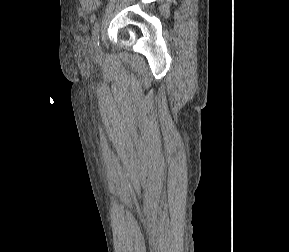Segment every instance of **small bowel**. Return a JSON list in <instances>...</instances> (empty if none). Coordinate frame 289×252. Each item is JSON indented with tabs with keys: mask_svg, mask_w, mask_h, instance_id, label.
Returning a JSON list of instances; mask_svg holds the SVG:
<instances>
[{
	"mask_svg": "<svg viewBox=\"0 0 289 252\" xmlns=\"http://www.w3.org/2000/svg\"><path fill=\"white\" fill-rule=\"evenodd\" d=\"M83 11L91 13L96 11L100 5L101 0H79Z\"/></svg>",
	"mask_w": 289,
	"mask_h": 252,
	"instance_id": "1",
	"label": "small bowel"
}]
</instances>
